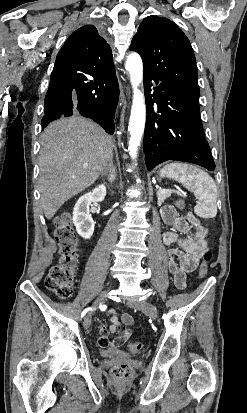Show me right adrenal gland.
Masks as SVG:
<instances>
[{
    "label": "right adrenal gland",
    "mask_w": 247,
    "mask_h": 413,
    "mask_svg": "<svg viewBox=\"0 0 247 413\" xmlns=\"http://www.w3.org/2000/svg\"><path fill=\"white\" fill-rule=\"evenodd\" d=\"M113 160H109V166L101 172V176H107L110 184H112L113 180L116 178V170L112 164Z\"/></svg>",
    "instance_id": "obj_1"
}]
</instances>
